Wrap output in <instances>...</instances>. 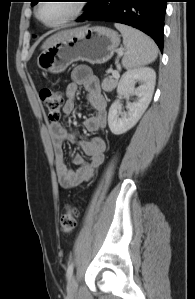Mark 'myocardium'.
I'll use <instances>...</instances> for the list:
<instances>
[{
	"mask_svg": "<svg viewBox=\"0 0 195 299\" xmlns=\"http://www.w3.org/2000/svg\"><path fill=\"white\" fill-rule=\"evenodd\" d=\"M71 2L74 4L72 13L69 16H67L66 18L62 19L61 21H59L57 23L49 24V23L44 22L40 17V8H41L42 4L44 3V1H40L37 4L36 9H35L36 18L43 25H45L46 27H49V28H56V27L63 26L65 24L77 19L84 12V9H85L84 1H82V0H72Z\"/></svg>",
	"mask_w": 195,
	"mask_h": 299,
	"instance_id": "1",
	"label": "myocardium"
}]
</instances>
